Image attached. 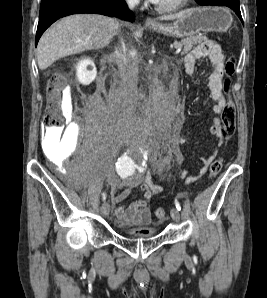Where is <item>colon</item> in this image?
<instances>
[{
	"instance_id": "colon-1",
	"label": "colon",
	"mask_w": 267,
	"mask_h": 298,
	"mask_svg": "<svg viewBox=\"0 0 267 298\" xmlns=\"http://www.w3.org/2000/svg\"><path fill=\"white\" fill-rule=\"evenodd\" d=\"M235 60L233 58L228 59L225 64V74L227 79L225 80V90L229 88V78L234 74ZM62 87V78L58 74H54L48 81V88L50 98L47 106V111L44 118V124L46 128H55L63 124V118L60 113V90ZM222 128L224 138H229L233 133L236 125V114L234 106L231 102H228L223 114H222ZM222 159H216L212 162L209 168V177L214 178L219 174L222 169ZM156 217L163 221L167 218V212L164 208H157L155 211Z\"/></svg>"
}]
</instances>
